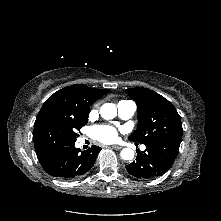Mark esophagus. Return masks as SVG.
<instances>
[{"mask_svg":"<svg viewBox=\"0 0 221 221\" xmlns=\"http://www.w3.org/2000/svg\"><path fill=\"white\" fill-rule=\"evenodd\" d=\"M110 147L115 150H120L122 148L121 146H118V145H112Z\"/></svg>","mask_w":221,"mask_h":221,"instance_id":"1","label":"esophagus"}]
</instances>
